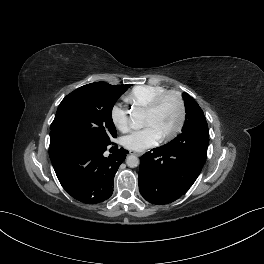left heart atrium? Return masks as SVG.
Segmentation results:
<instances>
[{
    "label": "left heart atrium",
    "mask_w": 264,
    "mask_h": 264,
    "mask_svg": "<svg viewBox=\"0 0 264 264\" xmlns=\"http://www.w3.org/2000/svg\"><path fill=\"white\" fill-rule=\"evenodd\" d=\"M161 135L152 125H147L143 129L134 130L122 138L124 147L135 150L143 151L147 148L155 146L160 140Z\"/></svg>",
    "instance_id": "obj_1"
}]
</instances>
